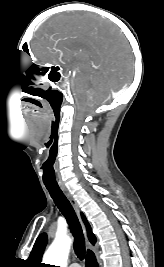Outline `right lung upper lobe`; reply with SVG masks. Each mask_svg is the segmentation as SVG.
<instances>
[{
  "label": "right lung upper lobe",
  "instance_id": "obj_1",
  "mask_svg": "<svg viewBox=\"0 0 164 267\" xmlns=\"http://www.w3.org/2000/svg\"><path fill=\"white\" fill-rule=\"evenodd\" d=\"M82 218L87 226L88 238L90 242L94 245L96 242V237L91 232V228L83 214H82ZM46 244H47L46 233L40 234L38 238L36 239V242L33 246L31 254L28 258V264L30 265V267H42L41 258H42ZM90 253H92V251L88 250L87 254H90Z\"/></svg>",
  "mask_w": 164,
  "mask_h": 267
}]
</instances>
